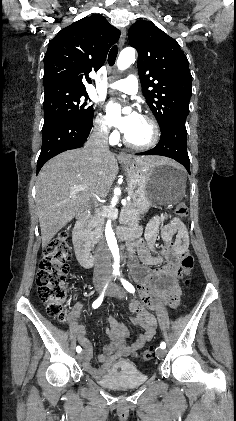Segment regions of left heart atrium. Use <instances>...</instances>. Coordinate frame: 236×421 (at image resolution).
Returning a JSON list of instances; mask_svg holds the SVG:
<instances>
[{
    "instance_id": "1",
    "label": "left heart atrium",
    "mask_w": 236,
    "mask_h": 421,
    "mask_svg": "<svg viewBox=\"0 0 236 421\" xmlns=\"http://www.w3.org/2000/svg\"><path fill=\"white\" fill-rule=\"evenodd\" d=\"M108 111L114 124L125 134H128L136 122L140 119V115L133 112L127 116H120L118 114V104L110 102L108 105Z\"/></svg>"
}]
</instances>
